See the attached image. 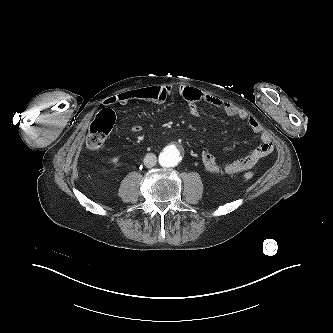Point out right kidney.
Instances as JSON below:
<instances>
[{
  "label": "right kidney",
  "mask_w": 333,
  "mask_h": 333,
  "mask_svg": "<svg viewBox=\"0 0 333 333\" xmlns=\"http://www.w3.org/2000/svg\"><path fill=\"white\" fill-rule=\"evenodd\" d=\"M118 161H119V157H114V158L112 159V163H113V164H117Z\"/></svg>",
  "instance_id": "right-kidney-1"
}]
</instances>
